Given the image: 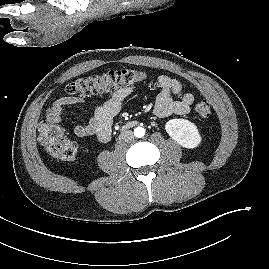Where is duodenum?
<instances>
[{
	"instance_id": "obj_1",
	"label": "duodenum",
	"mask_w": 269,
	"mask_h": 269,
	"mask_svg": "<svg viewBox=\"0 0 269 269\" xmlns=\"http://www.w3.org/2000/svg\"><path fill=\"white\" fill-rule=\"evenodd\" d=\"M135 125V122H129L125 125V128H129Z\"/></svg>"
}]
</instances>
